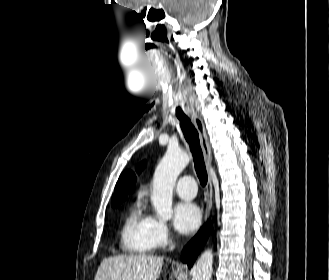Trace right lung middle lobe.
Wrapping results in <instances>:
<instances>
[{
    "mask_svg": "<svg viewBox=\"0 0 329 280\" xmlns=\"http://www.w3.org/2000/svg\"><path fill=\"white\" fill-rule=\"evenodd\" d=\"M120 202H121V201H119L117 204L113 205V207L118 206V205L120 204Z\"/></svg>",
    "mask_w": 329,
    "mask_h": 280,
    "instance_id": "dd1d6c3e",
    "label": "right lung middle lobe"
}]
</instances>
